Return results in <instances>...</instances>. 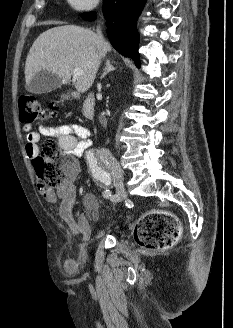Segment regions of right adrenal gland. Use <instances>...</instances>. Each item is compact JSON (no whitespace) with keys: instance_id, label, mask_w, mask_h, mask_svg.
I'll use <instances>...</instances> for the list:
<instances>
[{"instance_id":"1","label":"right adrenal gland","mask_w":233,"mask_h":328,"mask_svg":"<svg viewBox=\"0 0 233 328\" xmlns=\"http://www.w3.org/2000/svg\"><path fill=\"white\" fill-rule=\"evenodd\" d=\"M116 68L114 67V66H112L111 65V63H110V60L109 59H107L106 60V68H105V71H104V73L101 75V79H103L109 72H111V71H114Z\"/></svg>"}]
</instances>
